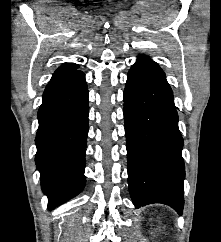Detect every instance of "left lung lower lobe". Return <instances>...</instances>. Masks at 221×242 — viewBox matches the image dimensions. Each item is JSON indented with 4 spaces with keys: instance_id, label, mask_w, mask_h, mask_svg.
I'll return each instance as SVG.
<instances>
[{
    "instance_id": "1",
    "label": "left lung lower lobe",
    "mask_w": 221,
    "mask_h": 242,
    "mask_svg": "<svg viewBox=\"0 0 221 242\" xmlns=\"http://www.w3.org/2000/svg\"><path fill=\"white\" fill-rule=\"evenodd\" d=\"M128 184L139 208L162 203L183 211V138L165 77L133 65L124 90Z\"/></svg>"
}]
</instances>
